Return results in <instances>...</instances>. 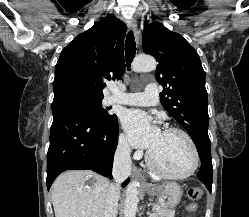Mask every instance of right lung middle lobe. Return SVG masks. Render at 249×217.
I'll return each instance as SVG.
<instances>
[{
    "mask_svg": "<svg viewBox=\"0 0 249 217\" xmlns=\"http://www.w3.org/2000/svg\"><path fill=\"white\" fill-rule=\"evenodd\" d=\"M102 99L89 96L87 94L77 91H66L54 95L53 103L67 102L82 110L93 121L104 124L112 125L118 122L115 114L108 113L109 108H102Z\"/></svg>",
    "mask_w": 249,
    "mask_h": 217,
    "instance_id": "right-lung-middle-lobe-1",
    "label": "right lung middle lobe"
}]
</instances>
